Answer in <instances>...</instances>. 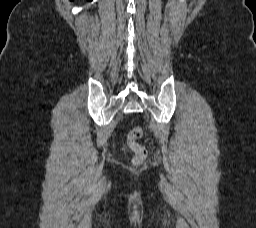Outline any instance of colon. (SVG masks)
<instances>
[{
  "label": "colon",
  "mask_w": 256,
  "mask_h": 228,
  "mask_svg": "<svg viewBox=\"0 0 256 228\" xmlns=\"http://www.w3.org/2000/svg\"><path fill=\"white\" fill-rule=\"evenodd\" d=\"M143 136V129L135 126L127 134V144L133 151L132 162L134 165H141L147 157V149L139 143V139Z\"/></svg>",
  "instance_id": "obj_1"
}]
</instances>
